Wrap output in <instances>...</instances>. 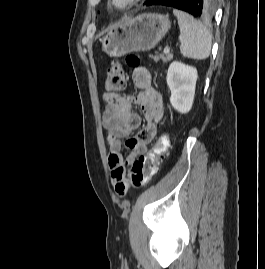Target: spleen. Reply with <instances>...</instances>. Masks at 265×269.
Instances as JSON below:
<instances>
[{
	"label": "spleen",
	"instance_id": "obj_1",
	"mask_svg": "<svg viewBox=\"0 0 265 269\" xmlns=\"http://www.w3.org/2000/svg\"><path fill=\"white\" fill-rule=\"evenodd\" d=\"M180 28V51L184 57L203 60L209 57L212 45V34L201 22L190 14L174 9Z\"/></svg>",
	"mask_w": 265,
	"mask_h": 269
}]
</instances>
